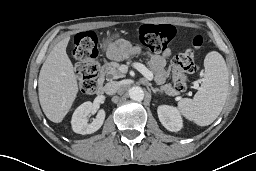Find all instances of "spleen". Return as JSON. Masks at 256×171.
<instances>
[{
	"instance_id": "3e777b00",
	"label": "spleen",
	"mask_w": 256,
	"mask_h": 171,
	"mask_svg": "<svg viewBox=\"0 0 256 171\" xmlns=\"http://www.w3.org/2000/svg\"><path fill=\"white\" fill-rule=\"evenodd\" d=\"M229 89V73L222 55L209 52L204 59L201 87L193 99L183 98L178 103L180 113L199 126H208L221 113Z\"/></svg>"
}]
</instances>
